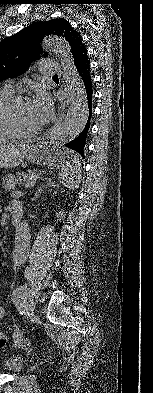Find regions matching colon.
<instances>
[{
    "label": "colon",
    "instance_id": "obj_1",
    "mask_svg": "<svg viewBox=\"0 0 153 393\" xmlns=\"http://www.w3.org/2000/svg\"><path fill=\"white\" fill-rule=\"evenodd\" d=\"M6 342V338L0 337V346H3Z\"/></svg>",
    "mask_w": 153,
    "mask_h": 393
}]
</instances>
